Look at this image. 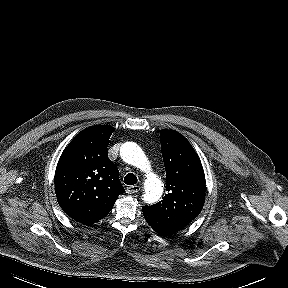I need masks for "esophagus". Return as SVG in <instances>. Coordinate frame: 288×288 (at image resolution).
Instances as JSON below:
<instances>
[{
	"label": "esophagus",
	"mask_w": 288,
	"mask_h": 288,
	"mask_svg": "<svg viewBox=\"0 0 288 288\" xmlns=\"http://www.w3.org/2000/svg\"><path fill=\"white\" fill-rule=\"evenodd\" d=\"M140 190V186L138 185H131L126 188V192L128 194L137 193Z\"/></svg>",
	"instance_id": "34e87169"
}]
</instances>
